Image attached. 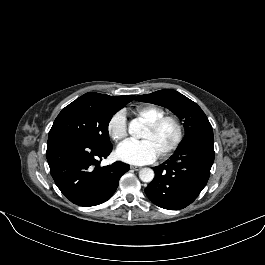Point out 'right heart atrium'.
I'll list each match as a JSON object with an SVG mask.
<instances>
[{
	"mask_svg": "<svg viewBox=\"0 0 265 265\" xmlns=\"http://www.w3.org/2000/svg\"><path fill=\"white\" fill-rule=\"evenodd\" d=\"M107 133L115 142H121L127 137V122L124 111H117L109 118Z\"/></svg>",
	"mask_w": 265,
	"mask_h": 265,
	"instance_id": "1",
	"label": "right heart atrium"
}]
</instances>
